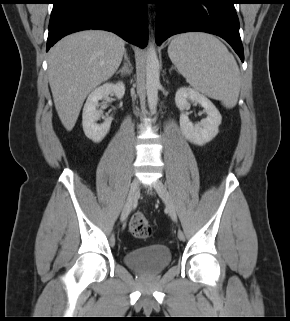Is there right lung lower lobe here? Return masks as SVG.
Returning a JSON list of instances; mask_svg holds the SVG:
<instances>
[{"label":"right lung lower lobe","instance_id":"98d812e1","mask_svg":"<svg viewBox=\"0 0 290 321\" xmlns=\"http://www.w3.org/2000/svg\"><path fill=\"white\" fill-rule=\"evenodd\" d=\"M149 0H53L47 51L62 37L81 30L114 32L141 48L147 45Z\"/></svg>","mask_w":290,"mask_h":321}]
</instances>
